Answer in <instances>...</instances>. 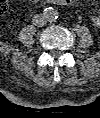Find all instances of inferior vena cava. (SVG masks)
Segmentation results:
<instances>
[{
    "label": "inferior vena cava",
    "instance_id": "obj_1",
    "mask_svg": "<svg viewBox=\"0 0 100 118\" xmlns=\"http://www.w3.org/2000/svg\"><path fill=\"white\" fill-rule=\"evenodd\" d=\"M32 22L35 26L43 27L44 25H46L47 20H46L44 14H35L33 16Z\"/></svg>",
    "mask_w": 100,
    "mask_h": 118
}]
</instances>
